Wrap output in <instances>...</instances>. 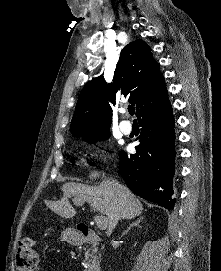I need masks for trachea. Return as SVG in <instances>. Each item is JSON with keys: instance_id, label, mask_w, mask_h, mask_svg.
I'll list each match as a JSON object with an SVG mask.
<instances>
[{"instance_id": "3493384b", "label": "trachea", "mask_w": 221, "mask_h": 271, "mask_svg": "<svg viewBox=\"0 0 221 271\" xmlns=\"http://www.w3.org/2000/svg\"><path fill=\"white\" fill-rule=\"evenodd\" d=\"M128 111H129L130 115L133 116L135 114V108H134V106H129L128 107ZM134 121H137V120H134Z\"/></svg>"}]
</instances>
